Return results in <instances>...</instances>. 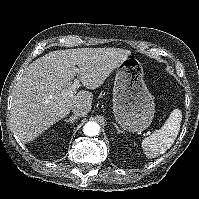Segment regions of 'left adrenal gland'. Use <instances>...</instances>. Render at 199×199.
<instances>
[{
	"mask_svg": "<svg viewBox=\"0 0 199 199\" xmlns=\"http://www.w3.org/2000/svg\"><path fill=\"white\" fill-rule=\"evenodd\" d=\"M113 125L116 128L117 133H121V130L119 129V127L117 126V124L113 122Z\"/></svg>",
	"mask_w": 199,
	"mask_h": 199,
	"instance_id": "a2214340",
	"label": "left adrenal gland"
}]
</instances>
